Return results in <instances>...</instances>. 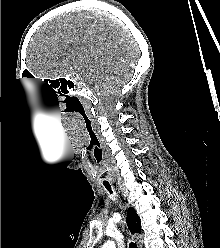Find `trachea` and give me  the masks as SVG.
<instances>
[{
    "label": "trachea",
    "mask_w": 220,
    "mask_h": 248,
    "mask_svg": "<svg viewBox=\"0 0 220 248\" xmlns=\"http://www.w3.org/2000/svg\"><path fill=\"white\" fill-rule=\"evenodd\" d=\"M104 186H105V188H106L110 193H112L110 184L104 183ZM129 248H137L136 243L131 242V243L129 244Z\"/></svg>",
    "instance_id": "3493384b"
}]
</instances>
